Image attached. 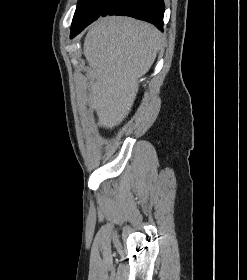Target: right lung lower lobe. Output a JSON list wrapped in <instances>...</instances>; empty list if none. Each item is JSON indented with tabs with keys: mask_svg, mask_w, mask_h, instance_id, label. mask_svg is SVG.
Instances as JSON below:
<instances>
[{
	"mask_svg": "<svg viewBox=\"0 0 247 280\" xmlns=\"http://www.w3.org/2000/svg\"><path fill=\"white\" fill-rule=\"evenodd\" d=\"M123 15L151 22L163 30V0H109L100 14L91 21L71 27V38L100 16Z\"/></svg>",
	"mask_w": 247,
	"mask_h": 280,
	"instance_id": "obj_1",
	"label": "right lung lower lobe"
}]
</instances>
